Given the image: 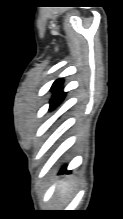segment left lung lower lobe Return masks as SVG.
<instances>
[{"label": "left lung lower lobe", "mask_w": 123, "mask_h": 219, "mask_svg": "<svg viewBox=\"0 0 123 219\" xmlns=\"http://www.w3.org/2000/svg\"><path fill=\"white\" fill-rule=\"evenodd\" d=\"M66 171V166H64L62 169H61V173L65 172Z\"/></svg>", "instance_id": "obj_1"}]
</instances>
